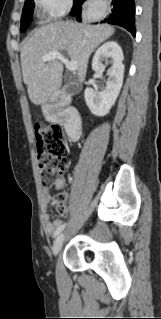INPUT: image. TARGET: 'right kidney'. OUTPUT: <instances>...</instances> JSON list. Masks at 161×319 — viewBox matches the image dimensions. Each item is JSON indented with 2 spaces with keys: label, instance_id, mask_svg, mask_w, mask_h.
Listing matches in <instances>:
<instances>
[{
  "label": "right kidney",
  "instance_id": "1",
  "mask_svg": "<svg viewBox=\"0 0 161 319\" xmlns=\"http://www.w3.org/2000/svg\"><path fill=\"white\" fill-rule=\"evenodd\" d=\"M123 59L122 49L114 41L104 43L96 50L92 60V69L95 72H103L104 63H107L108 60L111 68L107 73L108 80L103 92L92 88H87L84 92L85 102L92 114L99 117L105 116L114 105L123 84Z\"/></svg>",
  "mask_w": 161,
  "mask_h": 319
}]
</instances>
